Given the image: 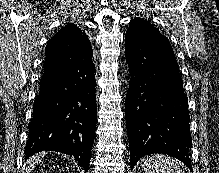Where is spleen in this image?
Wrapping results in <instances>:
<instances>
[{
    "label": "spleen",
    "mask_w": 219,
    "mask_h": 173,
    "mask_svg": "<svg viewBox=\"0 0 219 173\" xmlns=\"http://www.w3.org/2000/svg\"><path fill=\"white\" fill-rule=\"evenodd\" d=\"M140 164L145 173H184L177 160L160 154L146 156Z\"/></svg>",
    "instance_id": "spleen-1"
}]
</instances>
